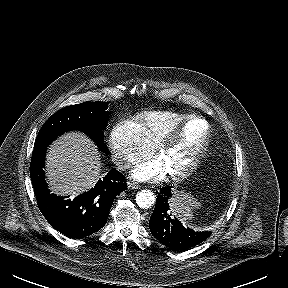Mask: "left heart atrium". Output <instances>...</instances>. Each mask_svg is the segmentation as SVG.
<instances>
[{
    "label": "left heart atrium",
    "mask_w": 288,
    "mask_h": 288,
    "mask_svg": "<svg viewBox=\"0 0 288 288\" xmlns=\"http://www.w3.org/2000/svg\"><path fill=\"white\" fill-rule=\"evenodd\" d=\"M165 171L161 160L157 158L138 165L132 171V175L138 180H155L161 178Z\"/></svg>",
    "instance_id": "1"
}]
</instances>
